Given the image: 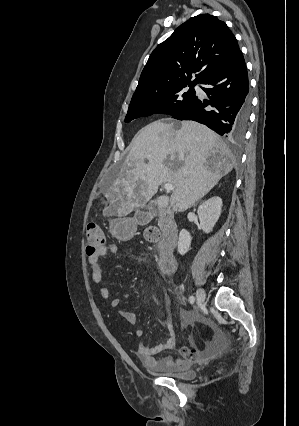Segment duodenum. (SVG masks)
<instances>
[{"label":"duodenum","mask_w":299,"mask_h":426,"mask_svg":"<svg viewBox=\"0 0 299 426\" xmlns=\"http://www.w3.org/2000/svg\"><path fill=\"white\" fill-rule=\"evenodd\" d=\"M163 231V237L159 244V267L165 274H171L176 269L174 250L176 247L178 227L171 212L161 210L157 213ZM150 215L140 216V222H146Z\"/></svg>","instance_id":"410a0bca"}]
</instances>
